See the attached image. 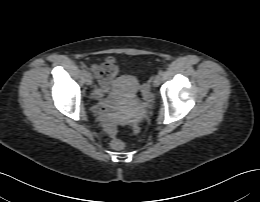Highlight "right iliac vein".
Instances as JSON below:
<instances>
[{
	"label": "right iliac vein",
	"mask_w": 260,
	"mask_h": 202,
	"mask_svg": "<svg viewBox=\"0 0 260 202\" xmlns=\"http://www.w3.org/2000/svg\"><path fill=\"white\" fill-rule=\"evenodd\" d=\"M84 79H85V83H86L87 85H91V84H92V77H91L90 74H88V73L85 74Z\"/></svg>",
	"instance_id": "right-iliac-vein-1"
}]
</instances>
